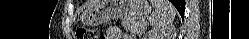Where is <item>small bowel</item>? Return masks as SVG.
<instances>
[{
  "instance_id": "1",
  "label": "small bowel",
  "mask_w": 249,
  "mask_h": 39,
  "mask_svg": "<svg viewBox=\"0 0 249 39\" xmlns=\"http://www.w3.org/2000/svg\"><path fill=\"white\" fill-rule=\"evenodd\" d=\"M121 32L117 27H110L101 39H120Z\"/></svg>"
}]
</instances>
